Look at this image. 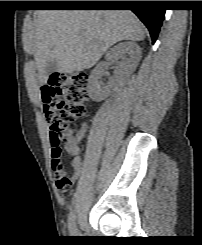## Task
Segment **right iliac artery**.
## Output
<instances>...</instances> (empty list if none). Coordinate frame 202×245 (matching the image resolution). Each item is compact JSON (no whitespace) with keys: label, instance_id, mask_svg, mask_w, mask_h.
<instances>
[{"label":"right iliac artery","instance_id":"82829eb1","mask_svg":"<svg viewBox=\"0 0 202 245\" xmlns=\"http://www.w3.org/2000/svg\"><path fill=\"white\" fill-rule=\"evenodd\" d=\"M77 208L75 206L71 207L69 217H68V228L71 235L75 236V217H76Z\"/></svg>","mask_w":202,"mask_h":245}]
</instances>
